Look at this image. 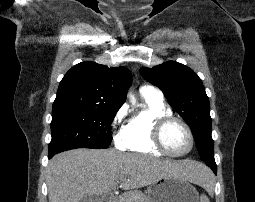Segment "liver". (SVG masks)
I'll list each match as a JSON object with an SVG mask.
<instances>
[{
    "label": "liver",
    "instance_id": "1",
    "mask_svg": "<svg viewBox=\"0 0 255 202\" xmlns=\"http://www.w3.org/2000/svg\"><path fill=\"white\" fill-rule=\"evenodd\" d=\"M204 165L191 160H163L115 149H75L54 156L48 165L49 202H80L85 194L103 195L116 188L135 189L163 177L199 184Z\"/></svg>",
    "mask_w": 255,
    "mask_h": 202
}]
</instances>
